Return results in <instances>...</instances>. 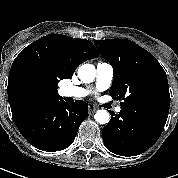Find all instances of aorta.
<instances>
[{
    "label": "aorta",
    "mask_w": 178,
    "mask_h": 178,
    "mask_svg": "<svg viewBox=\"0 0 178 178\" xmlns=\"http://www.w3.org/2000/svg\"><path fill=\"white\" fill-rule=\"evenodd\" d=\"M78 77L83 83H90L96 77V69L91 64H83L78 69ZM99 124H107L110 121V114L106 110H98L94 115Z\"/></svg>",
    "instance_id": "aorta-1"
}]
</instances>
